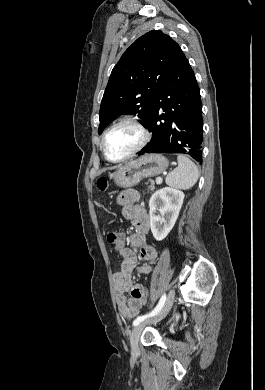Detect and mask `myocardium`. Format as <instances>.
<instances>
[{
	"instance_id": "obj_1",
	"label": "myocardium",
	"mask_w": 265,
	"mask_h": 390,
	"mask_svg": "<svg viewBox=\"0 0 265 390\" xmlns=\"http://www.w3.org/2000/svg\"><path fill=\"white\" fill-rule=\"evenodd\" d=\"M122 125H129L135 128L140 135V139L138 143L135 145V147L131 149L125 156L117 160H112L108 157L106 152V139L112 130ZM149 139H150V133L146 128V126L136 117L126 116L111 124L104 132L101 140L102 154L104 158L110 163H121L127 161L128 159L135 156L138 152H140L147 145Z\"/></svg>"
}]
</instances>
